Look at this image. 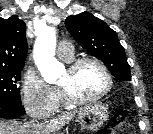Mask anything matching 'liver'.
Listing matches in <instances>:
<instances>
[{"label":"liver","instance_id":"obj_1","mask_svg":"<svg viewBox=\"0 0 153 134\" xmlns=\"http://www.w3.org/2000/svg\"><path fill=\"white\" fill-rule=\"evenodd\" d=\"M80 110L64 112L52 124H43L41 128L33 122L21 124L16 121L0 119V134H47V132H50L54 128L65 125L76 114H79Z\"/></svg>","mask_w":153,"mask_h":134}]
</instances>
